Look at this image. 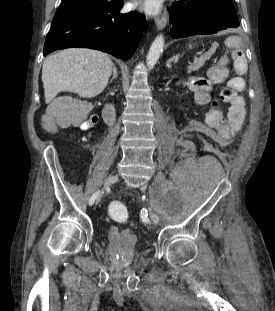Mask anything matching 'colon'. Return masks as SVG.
I'll return each instance as SVG.
<instances>
[{"label": "colon", "instance_id": "obj_1", "mask_svg": "<svg viewBox=\"0 0 275 311\" xmlns=\"http://www.w3.org/2000/svg\"><path fill=\"white\" fill-rule=\"evenodd\" d=\"M234 65L236 72L242 75L246 70L245 57H234ZM244 86L245 81L241 76L233 77L221 91V100L230 103L238 96V93L243 90ZM80 121H82L81 117L75 115L73 112V103L68 100H63L54 102L48 108L43 118V125L47 131H53L56 125L63 127L77 125ZM108 210L116 219H126L128 216L126 207L119 202H111Z\"/></svg>", "mask_w": 275, "mask_h": 311}]
</instances>
